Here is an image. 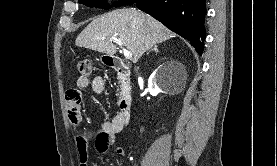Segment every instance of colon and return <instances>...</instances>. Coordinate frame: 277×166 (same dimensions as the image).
Returning a JSON list of instances; mask_svg holds the SVG:
<instances>
[{
  "instance_id": "1",
  "label": "colon",
  "mask_w": 277,
  "mask_h": 166,
  "mask_svg": "<svg viewBox=\"0 0 277 166\" xmlns=\"http://www.w3.org/2000/svg\"><path fill=\"white\" fill-rule=\"evenodd\" d=\"M77 70L82 75V77H87L91 74L92 63L89 59H81L77 63Z\"/></svg>"
}]
</instances>
